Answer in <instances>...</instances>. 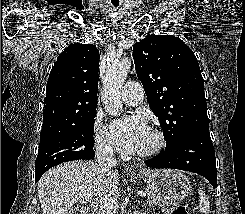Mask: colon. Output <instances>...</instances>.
Masks as SVG:
<instances>
[{
  "instance_id": "5ec220e1",
  "label": "colon",
  "mask_w": 245,
  "mask_h": 214,
  "mask_svg": "<svg viewBox=\"0 0 245 214\" xmlns=\"http://www.w3.org/2000/svg\"><path fill=\"white\" fill-rule=\"evenodd\" d=\"M168 214H188L187 209L184 205L171 206L167 210Z\"/></svg>"
}]
</instances>
